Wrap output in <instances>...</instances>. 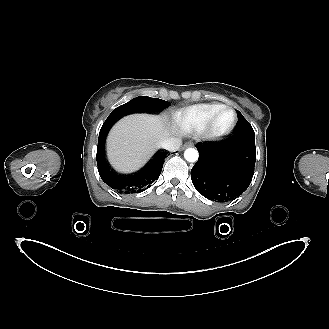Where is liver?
Here are the masks:
<instances>
[{"instance_id":"1","label":"liver","mask_w":329,"mask_h":329,"mask_svg":"<svg viewBox=\"0 0 329 329\" xmlns=\"http://www.w3.org/2000/svg\"><path fill=\"white\" fill-rule=\"evenodd\" d=\"M171 129L166 118L134 114L118 121L107 137V156L120 172L139 169L161 142L169 138Z\"/></svg>"}]
</instances>
